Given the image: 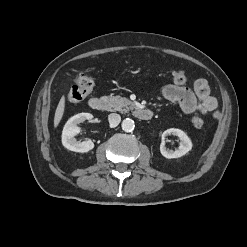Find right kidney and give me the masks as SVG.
Masks as SVG:
<instances>
[{
    "label": "right kidney",
    "instance_id": "right-kidney-1",
    "mask_svg": "<svg viewBox=\"0 0 247 247\" xmlns=\"http://www.w3.org/2000/svg\"><path fill=\"white\" fill-rule=\"evenodd\" d=\"M93 118L90 113H79L71 117L65 124L62 131V144L68 150L85 153L94 148L91 140L77 141L75 136L80 133V123Z\"/></svg>",
    "mask_w": 247,
    "mask_h": 247
}]
</instances>
